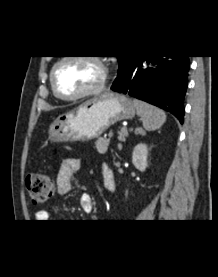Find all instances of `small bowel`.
<instances>
[{
	"instance_id": "obj_1",
	"label": "small bowel",
	"mask_w": 218,
	"mask_h": 277,
	"mask_svg": "<svg viewBox=\"0 0 218 277\" xmlns=\"http://www.w3.org/2000/svg\"><path fill=\"white\" fill-rule=\"evenodd\" d=\"M81 167V161L78 158L69 157L62 160L60 169L56 178V194L58 197L65 196L71 189L72 177L76 171ZM109 173L113 176L112 172ZM103 182L106 188H112L113 184H106L104 175L102 172ZM81 207L84 211L88 212L92 210V198L89 194L84 193L80 199ZM37 222H45L49 218V213L40 209L35 213Z\"/></svg>"
}]
</instances>
